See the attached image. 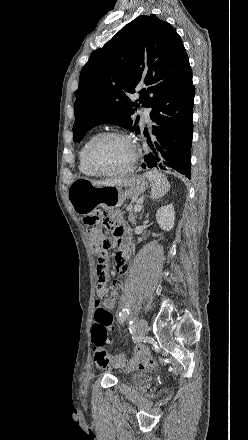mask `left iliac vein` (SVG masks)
Wrapping results in <instances>:
<instances>
[{"mask_svg": "<svg viewBox=\"0 0 248 440\" xmlns=\"http://www.w3.org/2000/svg\"><path fill=\"white\" fill-rule=\"evenodd\" d=\"M136 328H137V332L140 335H145L148 332V323L145 319L140 318L137 320L136 322Z\"/></svg>", "mask_w": 248, "mask_h": 440, "instance_id": "1", "label": "left iliac vein"}]
</instances>
